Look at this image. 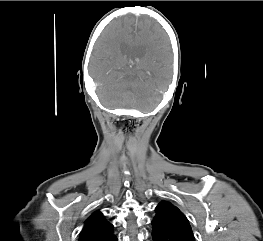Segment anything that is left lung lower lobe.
I'll list each match as a JSON object with an SVG mask.
<instances>
[{
	"mask_svg": "<svg viewBox=\"0 0 263 241\" xmlns=\"http://www.w3.org/2000/svg\"><path fill=\"white\" fill-rule=\"evenodd\" d=\"M152 226L153 241H194L156 220H152Z\"/></svg>",
	"mask_w": 263,
	"mask_h": 241,
	"instance_id": "0a47b994",
	"label": "left lung lower lobe"
}]
</instances>
